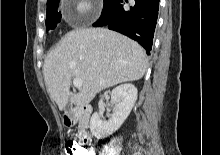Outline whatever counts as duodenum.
Masks as SVG:
<instances>
[{
	"instance_id": "duodenum-1",
	"label": "duodenum",
	"mask_w": 220,
	"mask_h": 155,
	"mask_svg": "<svg viewBox=\"0 0 220 155\" xmlns=\"http://www.w3.org/2000/svg\"><path fill=\"white\" fill-rule=\"evenodd\" d=\"M91 114V107L87 105H80L73 109L72 113L66 118L68 124H72L75 119H86ZM81 143H90L91 136L87 131L80 134Z\"/></svg>"
}]
</instances>
